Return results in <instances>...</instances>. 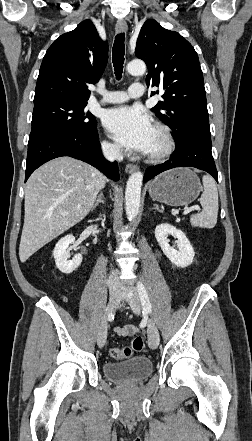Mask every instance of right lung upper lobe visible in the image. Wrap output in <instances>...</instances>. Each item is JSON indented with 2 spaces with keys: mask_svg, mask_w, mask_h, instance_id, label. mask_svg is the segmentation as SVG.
Instances as JSON below:
<instances>
[{
  "mask_svg": "<svg viewBox=\"0 0 252 441\" xmlns=\"http://www.w3.org/2000/svg\"><path fill=\"white\" fill-rule=\"evenodd\" d=\"M108 60V43L102 41L90 20L61 35L47 50L39 71L34 104L51 100L87 102L88 83L99 80Z\"/></svg>",
  "mask_w": 252,
  "mask_h": 441,
  "instance_id": "1",
  "label": "right lung upper lobe"
}]
</instances>
